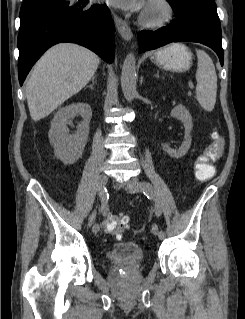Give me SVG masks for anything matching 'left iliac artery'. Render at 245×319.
I'll return each mask as SVG.
<instances>
[{
  "mask_svg": "<svg viewBox=\"0 0 245 319\" xmlns=\"http://www.w3.org/2000/svg\"><path fill=\"white\" fill-rule=\"evenodd\" d=\"M138 188L149 199H155L156 195H155L154 188L149 182H140ZM155 213L157 216L161 215V208H160L159 204H156V206H155ZM159 233L161 234V236L165 237V231L161 230Z\"/></svg>",
  "mask_w": 245,
  "mask_h": 319,
  "instance_id": "obj_1",
  "label": "left iliac artery"
}]
</instances>
